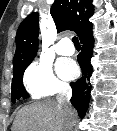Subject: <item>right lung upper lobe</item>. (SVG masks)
Listing matches in <instances>:
<instances>
[{"instance_id":"cb5924a9","label":"right lung upper lobe","mask_w":117,"mask_h":131,"mask_svg":"<svg viewBox=\"0 0 117 131\" xmlns=\"http://www.w3.org/2000/svg\"><path fill=\"white\" fill-rule=\"evenodd\" d=\"M92 0H55L51 16L58 32L74 31L79 38L92 32L89 18L93 15ZM38 13H32L20 24L16 35V52L13 70L29 65L36 56L38 46Z\"/></svg>"}]
</instances>
